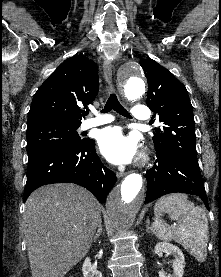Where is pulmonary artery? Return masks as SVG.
<instances>
[{
	"mask_svg": "<svg viewBox=\"0 0 221 277\" xmlns=\"http://www.w3.org/2000/svg\"><path fill=\"white\" fill-rule=\"evenodd\" d=\"M132 118L139 121H146L150 118V110L145 105H136L132 109ZM113 121V117L110 115H97L95 118L86 120L82 124L83 129H90L93 127L101 126Z\"/></svg>",
	"mask_w": 221,
	"mask_h": 277,
	"instance_id": "obj_1",
	"label": "pulmonary artery"
}]
</instances>
